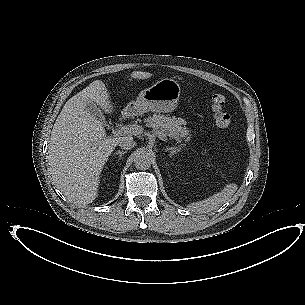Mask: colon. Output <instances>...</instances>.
Listing matches in <instances>:
<instances>
[{
	"mask_svg": "<svg viewBox=\"0 0 305 305\" xmlns=\"http://www.w3.org/2000/svg\"><path fill=\"white\" fill-rule=\"evenodd\" d=\"M212 111L216 124L221 127H226L230 123V116L224 112V98L221 95H214L212 97Z\"/></svg>",
	"mask_w": 305,
	"mask_h": 305,
	"instance_id": "5ec220e1",
	"label": "colon"
}]
</instances>
